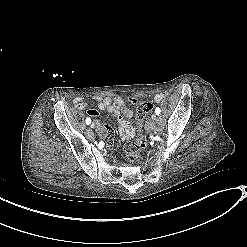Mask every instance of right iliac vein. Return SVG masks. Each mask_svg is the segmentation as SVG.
<instances>
[{
  "label": "right iliac vein",
  "mask_w": 247,
  "mask_h": 247,
  "mask_svg": "<svg viewBox=\"0 0 247 247\" xmlns=\"http://www.w3.org/2000/svg\"><path fill=\"white\" fill-rule=\"evenodd\" d=\"M90 126H91V128H94L95 124L92 122Z\"/></svg>",
  "instance_id": "obj_1"
}]
</instances>
